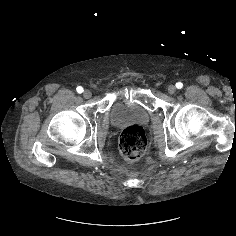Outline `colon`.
Listing matches in <instances>:
<instances>
[{"mask_svg":"<svg viewBox=\"0 0 236 236\" xmlns=\"http://www.w3.org/2000/svg\"><path fill=\"white\" fill-rule=\"evenodd\" d=\"M122 156L129 161L140 159L146 151L147 139L144 130L138 125L125 128L119 138Z\"/></svg>","mask_w":236,"mask_h":236,"instance_id":"colon-1","label":"colon"}]
</instances>
